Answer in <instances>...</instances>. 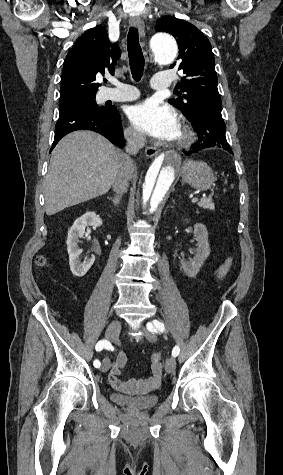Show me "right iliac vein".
Returning a JSON list of instances; mask_svg holds the SVG:
<instances>
[{
    "label": "right iliac vein",
    "instance_id": "right-iliac-vein-1",
    "mask_svg": "<svg viewBox=\"0 0 283 475\" xmlns=\"http://www.w3.org/2000/svg\"><path fill=\"white\" fill-rule=\"evenodd\" d=\"M120 330H121V323L118 319H116L108 325L105 336L108 340L113 342L118 338ZM109 368H110V360L108 358L103 359L101 371L107 372Z\"/></svg>",
    "mask_w": 283,
    "mask_h": 475
}]
</instances>
